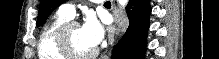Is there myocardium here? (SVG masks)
<instances>
[{"mask_svg":"<svg viewBox=\"0 0 219 59\" xmlns=\"http://www.w3.org/2000/svg\"><path fill=\"white\" fill-rule=\"evenodd\" d=\"M79 26V23L73 20H69L64 23L57 36V47L61 54H63L67 59H91L98 54V50L94 48L92 51L87 53L76 52L71 45L69 31L72 26Z\"/></svg>","mask_w":219,"mask_h":59,"instance_id":"obj_1","label":"myocardium"}]
</instances>
